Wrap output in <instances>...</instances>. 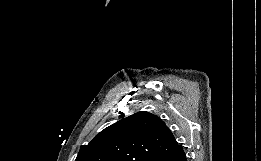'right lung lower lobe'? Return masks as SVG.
Instances as JSON below:
<instances>
[{"instance_id":"98d812e1","label":"right lung lower lobe","mask_w":261,"mask_h":161,"mask_svg":"<svg viewBox=\"0 0 261 161\" xmlns=\"http://www.w3.org/2000/svg\"><path fill=\"white\" fill-rule=\"evenodd\" d=\"M154 161H187V158H186L185 152L181 148L180 150H178L172 154L160 157Z\"/></svg>"}]
</instances>
